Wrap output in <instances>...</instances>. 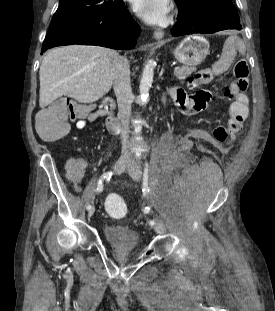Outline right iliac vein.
I'll return each mask as SVG.
<instances>
[{
  "label": "right iliac vein",
  "mask_w": 275,
  "mask_h": 311,
  "mask_svg": "<svg viewBox=\"0 0 275 311\" xmlns=\"http://www.w3.org/2000/svg\"><path fill=\"white\" fill-rule=\"evenodd\" d=\"M130 163V159L128 158H120L114 167L115 174H121L123 170L126 168V166ZM95 212V207L92 206L91 209L88 212V217H92Z\"/></svg>",
  "instance_id": "63e3f726"
}]
</instances>
